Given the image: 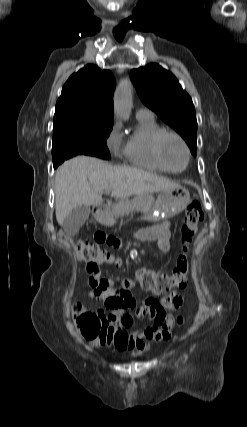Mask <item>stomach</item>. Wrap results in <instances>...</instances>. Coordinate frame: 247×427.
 I'll list each match as a JSON object with an SVG mask.
<instances>
[{
	"label": "stomach",
	"mask_w": 247,
	"mask_h": 427,
	"mask_svg": "<svg viewBox=\"0 0 247 427\" xmlns=\"http://www.w3.org/2000/svg\"><path fill=\"white\" fill-rule=\"evenodd\" d=\"M189 202V191L180 185L163 190L148 211L147 218L150 220L171 218L185 210ZM96 218L106 226H112L115 223L110 212H100L96 215Z\"/></svg>",
	"instance_id": "stomach-1"
}]
</instances>
